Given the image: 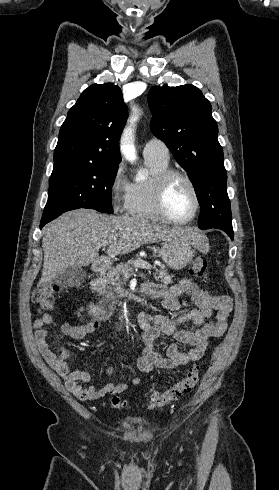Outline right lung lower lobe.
<instances>
[{"instance_id": "98d812e1", "label": "right lung lower lobe", "mask_w": 279, "mask_h": 490, "mask_svg": "<svg viewBox=\"0 0 279 490\" xmlns=\"http://www.w3.org/2000/svg\"><path fill=\"white\" fill-rule=\"evenodd\" d=\"M46 223H48V222H46V221H41V223H40V228H42V227H43V226H44Z\"/></svg>"}]
</instances>
